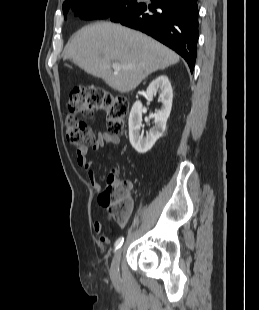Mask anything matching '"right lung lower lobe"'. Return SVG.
Instances as JSON below:
<instances>
[{"label":"right lung lower lobe","instance_id":"right-lung-lower-lobe-1","mask_svg":"<svg viewBox=\"0 0 259 310\" xmlns=\"http://www.w3.org/2000/svg\"><path fill=\"white\" fill-rule=\"evenodd\" d=\"M151 1L154 7L140 3L119 23L140 30L176 51L192 72L198 41L197 0Z\"/></svg>","mask_w":259,"mask_h":310}]
</instances>
